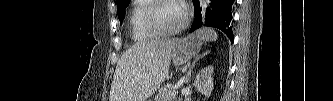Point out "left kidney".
<instances>
[{"label": "left kidney", "instance_id": "obj_1", "mask_svg": "<svg viewBox=\"0 0 333 101\" xmlns=\"http://www.w3.org/2000/svg\"><path fill=\"white\" fill-rule=\"evenodd\" d=\"M214 67L213 66H208L203 69H201L195 78V88L204 94L206 97L211 96V92L213 90V74Z\"/></svg>", "mask_w": 333, "mask_h": 101}]
</instances>
